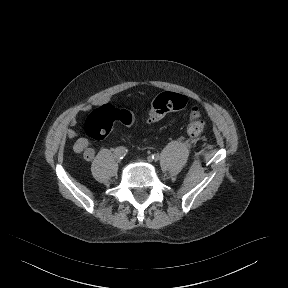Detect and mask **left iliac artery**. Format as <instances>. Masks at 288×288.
Masks as SVG:
<instances>
[{
  "label": "left iliac artery",
  "instance_id": "left-iliac-artery-1",
  "mask_svg": "<svg viewBox=\"0 0 288 288\" xmlns=\"http://www.w3.org/2000/svg\"><path fill=\"white\" fill-rule=\"evenodd\" d=\"M148 159L149 160H153V161H158L159 160V155L158 154H152L151 156H149Z\"/></svg>",
  "mask_w": 288,
  "mask_h": 288
}]
</instances>
